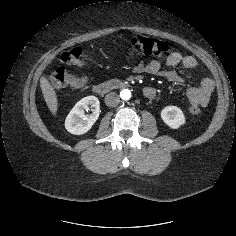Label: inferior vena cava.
Masks as SVG:
<instances>
[{
  "label": "inferior vena cava",
  "instance_id": "obj_1",
  "mask_svg": "<svg viewBox=\"0 0 236 236\" xmlns=\"http://www.w3.org/2000/svg\"><path fill=\"white\" fill-rule=\"evenodd\" d=\"M119 102L120 98L115 92H110L105 96V104L109 107H115Z\"/></svg>",
  "mask_w": 236,
  "mask_h": 236
}]
</instances>
